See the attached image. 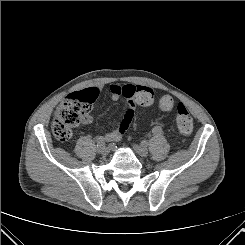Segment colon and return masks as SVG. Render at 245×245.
<instances>
[{"instance_id":"obj_1","label":"colon","mask_w":245,"mask_h":245,"mask_svg":"<svg viewBox=\"0 0 245 245\" xmlns=\"http://www.w3.org/2000/svg\"><path fill=\"white\" fill-rule=\"evenodd\" d=\"M97 95L98 90L96 88H89L72 93L64 99L56 109L52 121V132L56 139L67 141L72 136V129L83 122ZM135 99L139 105L149 106L154 100L153 92L147 87H138L135 92ZM176 112L179 132L183 136H189L193 131V120L187 108L184 104L179 103Z\"/></svg>"}]
</instances>
